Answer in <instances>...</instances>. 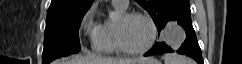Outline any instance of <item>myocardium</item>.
I'll use <instances>...</instances> for the list:
<instances>
[{"mask_svg":"<svg viewBox=\"0 0 242 64\" xmlns=\"http://www.w3.org/2000/svg\"><path fill=\"white\" fill-rule=\"evenodd\" d=\"M132 18H141L144 19L145 21L148 22L150 28H151V35L149 38V41L147 42V44L141 48L138 49H133L130 48L126 45V43L123 40V36H122V30H121V24H120V20H129ZM116 37H117V43H118V47L119 49L129 55H140V54H144L147 51H149L157 38V26L154 22V20L152 19L151 16H149L148 14L142 13V12H130V13H123L120 18L117 20V26H116Z\"/></svg>","mask_w":242,"mask_h":64,"instance_id":"myocardium-1","label":"myocardium"}]
</instances>
